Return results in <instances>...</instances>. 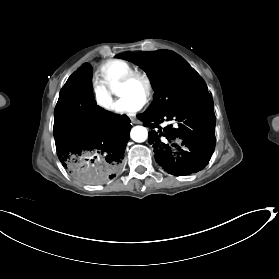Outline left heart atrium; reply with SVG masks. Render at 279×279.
I'll list each match as a JSON object with an SVG mask.
<instances>
[{"mask_svg": "<svg viewBox=\"0 0 279 279\" xmlns=\"http://www.w3.org/2000/svg\"><path fill=\"white\" fill-rule=\"evenodd\" d=\"M144 99H131L123 97L116 106V110L121 114H134L141 110L144 106Z\"/></svg>", "mask_w": 279, "mask_h": 279, "instance_id": "obj_1", "label": "left heart atrium"}]
</instances>
